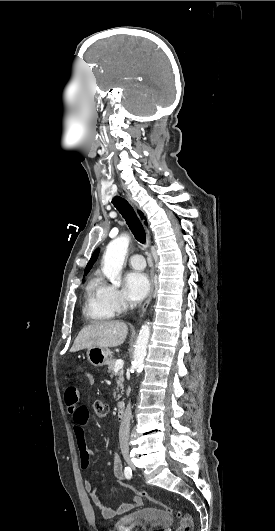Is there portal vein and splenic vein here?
Segmentation results:
<instances>
[{"mask_svg": "<svg viewBox=\"0 0 275 531\" xmlns=\"http://www.w3.org/2000/svg\"><path fill=\"white\" fill-rule=\"evenodd\" d=\"M123 365L124 361H122V359H118V361L115 363V369H122Z\"/></svg>", "mask_w": 275, "mask_h": 531, "instance_id": "18ae733b", "label": "portal vein and splenic vein"}]
</instances>
